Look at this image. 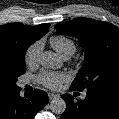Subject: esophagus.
Returning <instances> with one entry per match:
<instances>
[{"label":"esophagus","mask_w":119,"mask_h":119,"mask_svg":"<svg viewBox=\"0 0 119 119\" xmlns=\"http://www.w3.org/2000/svg\"><path fill=\"white\" fill-rule=\"evenodd\" d=\"M48 97H49L50 100H53V99L59 97V95L55 94V93H48Z\"/></svg>","instance_id":"obj_1"}]
</instances>
